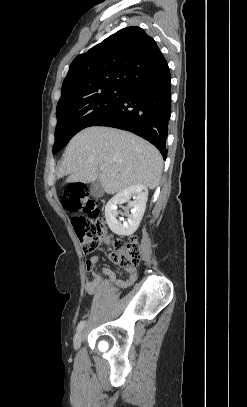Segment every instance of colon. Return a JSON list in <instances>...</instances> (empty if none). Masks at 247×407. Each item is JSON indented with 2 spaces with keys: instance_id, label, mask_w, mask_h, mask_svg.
I'll return each mask as SVG.
<instances>
[{
  "instance_id": "obj_1",
  "label": "colon",
  "mask_w": 247,
  "mask_h": 407,
  "mask_svg": "<svg viewBox=\"0 0 247 407\" xmlns=\"http://www.w3.org/2000/svg\"><path fill=\"white\" fill-rule=\"evenodd\" d=\"M62 205L70 214L83 213L85 216L72 218V226L80 241L82 250L91 253L105 238L104 221L99 218L97 201L80 184L69 185L63 192ZM111 260L120 267L129 268L140 261L141 251L135 238L124 242L116 239L112 242Z\"/></svg>"
}]
</instances>
